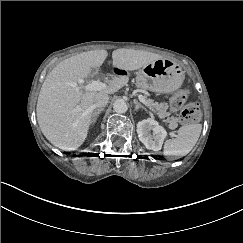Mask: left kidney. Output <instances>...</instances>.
I'll use <instances>...</instances> for the list:
<instances>
[{"mask_svg": "<svg viewBox=\"0 0 243 243\" xmlns=\"http://www.w3.org/2000/svg\"><path fill=\"white\" fill-rule=\"evenodd\" d=\"M137 133L139 140L145 145V147L153 151H159L161 149L166 137V131L164 128L152 119L138 122Z\"/></svg>", "mask_w": 243, "mask_h": 243, "instance_id": "5707ae66", "label": "left kidney"}]
</instances>
